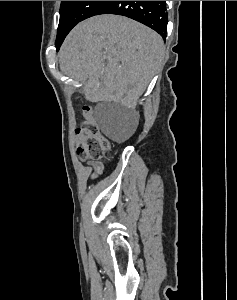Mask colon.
Here are the masks:
<instances>
[{"instance_id":"obj_1","label":"colon","mask_w":237,"mask_h":300,"mask_svg":"<svg viewBox=\"0 0 237 300\" xmlns=\"http://www.w3.org/2000/svg\"><path fill=\"white\" fill-rule=\"evenodd\" d=\"M85 121L76 130L77 156L82 160H98L102 158L111 147V143L106 138L93 117V110L89 106L83 108Z\"/></svg>"}]
</instances>
